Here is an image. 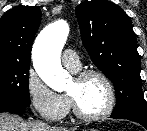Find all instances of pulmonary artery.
<instances>
[{
    "instance_id": "obj_1",
    "label": "pulmonary artery",
    "mask_w": 147,
    "mask_h": 131,
    "mask_svg": "<svg viewBox=\"0 0 147 131\" xmlns=\"http://www.w3.org/2000/svg\"><path fill=\"white\" fill-rule=\"evenodd\" d=\"M62 61L64 65L71 71H78L81 67V63L78 55L71 49L64 50L62 54Z\"/></svg>"
}]
</instances>
